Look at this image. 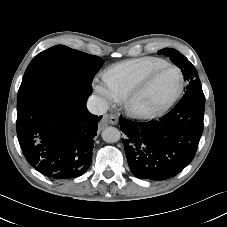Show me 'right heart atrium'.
<instances>
[{
    "mask_svg": "<svg viewBox=\"0 0 227 227\" xmlns=\"http://www.w3.org/2000/svg\"><path fill=\"white\" fill-rule=\"evenodd\" d=\"M95 92L106 102H112L117 100L116 94L108 86L107 82L103 78V82H95L94 85Z\"/></svg>",
    "mask_w": 227,
    "mask_h": 227,
    "instance_id": "obj_1",
    "label": "right heart atrium"
}]
</instances>
